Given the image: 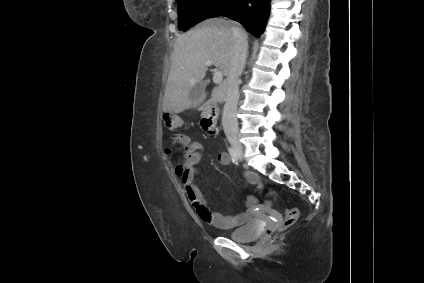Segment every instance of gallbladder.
<instances>
[{
  "label": "gallbladder",
  "mask_w": 424,
  "mask_h": 283,
  "mask_svg": "<svg viewBox=\"0 0 424 283\" xmlns=\"http://www.w3.org/2000/svg\"><path fill=\"white\" fill-rule=\"evenodd\" d=\"M203 95H204V84L203 83H198L195 87H193L190 90V94H189V96L192 100L199 99Z\"/></svg>",
  "instance_id": "1"
}]
</instances>
